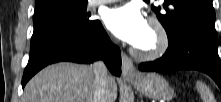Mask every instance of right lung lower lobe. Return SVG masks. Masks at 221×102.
<instances>
[{
  "instance_id": "obj_1",
  "label": "right lung lower lobe",
  "mask_w": 221,
  "mask_h": 102,
  "mask_svg": "<svg viewBox=\"0 0 221 102\" xmlns=\"http://www.w3.org/2000/svg\"><path fill=\"white\" fill-rule=\"evenodd\" d=\"M103 59L112 74L121 75L120 50L109 39L100 21L85 29L57 32L31 48L22 87L43 67L60 62L92 63Z\"/></svg>"
}]
</instances>
